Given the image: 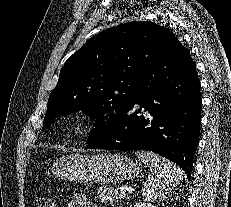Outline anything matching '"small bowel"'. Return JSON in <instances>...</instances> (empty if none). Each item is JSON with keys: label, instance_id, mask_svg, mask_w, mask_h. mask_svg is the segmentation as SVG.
Segmentation results:
<instances>
[{"label": "small bowel", "instance_id": "obj_1", "mask_svg": "<svg viewBox=\"0 0 231 207\" xmlns=\"http://www.w3.org/2000/svg\"><path fill=\"white\" fill-rule=\"evenodd\" d=\"M66 207H97L93 202L82 195H74Z\"/></svg>", "mask_w": 231, "mask_h": 207}]
</instances>
